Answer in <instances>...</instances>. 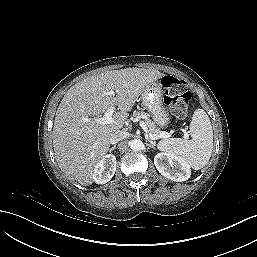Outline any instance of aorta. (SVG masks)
<instances>
[{"mask_svg":"<svg viewBox=\"0 0 257 257\" xmlns=\"http://www.w3.org/2000/svg\"><path fill=\"white\" fill-rule=\"evenodd\" d=\"M129 146L133 151H140L144 145L140 139H133L129 142Z\"/></svg>","mask_w":257,"mask_h":257,"instance_id":"1","label":"aorta"}]
</instances>
